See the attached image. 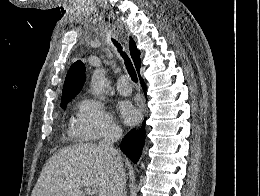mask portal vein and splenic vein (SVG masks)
<instances>
[{"instance_id": "1", "label": "portal vein and splenic vein", "mask_w": 260, "mask_h": 196, "mask_svg": "<svg viewBox=\"0 0 260 196\" xmlns=\"http://www.w3.org/2000/svg\"><path fill=\"white\" fill-rule=\"evenodd\" d=\"M84 192H86V194H88V196H95L96 192H94V190H92V188H84Z\"/></svg>"}]
</instances>
